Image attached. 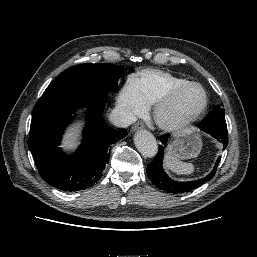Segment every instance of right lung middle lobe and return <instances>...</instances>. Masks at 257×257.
I'll return each instance as SVG.
<instances>
[{"instance_id": "dd1d6c3e", "label": "right lung middle lobe", "mask_w": 257, "mask_h": 257, "mask_svg": "<svg viewBox=\"0 0 257 257\" xmlns=\"http://www.w3.org/2000/svg\"><path fill=\"white\" fill-rule=\"evenodd\" d=\"M123 71L109 63L81 64L59 74L46 88L43 95L64 90L115 91Z\"/></svg>"}]
</instances>
